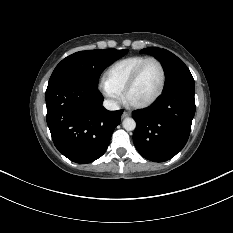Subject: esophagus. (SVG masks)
Wrapping results in <instances>:
<instances>
[{
  "label": "esophagus",
  "mask_w": 233,
  "mask_h": 233,
  "mask_svg": "<svg viewBox=\"0 0 233 233\" xmlns=\"http://www.w3.org/2000/svg\"><path fill=\"white\" fill-rule=\"evenodd\" d=\"M130 116V113L129 112H126V111H124L123 113H122V118H126V117H129Z\"/></svg>",
  "instance_id": "obj_1"
}]
</instances>
